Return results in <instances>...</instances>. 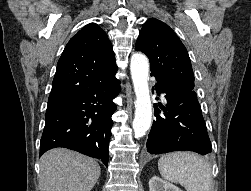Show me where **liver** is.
I'll list each match as a JSON object with an SVG mask.
<instances>
[{"label": "liver", "mask_w": 251, "mask_h": 191, "mask_svg": "<svg viewBox=\"0 0 251 191\" xmlns=\"http://www.w3.org/2000/svg\"><path fill=\"white\" fill-rule=\"evenodd\" d=\"M39 175L44 191H90L100 175V165L77 151L53 147L42 155Z\"/></svg>", "instance_id": "6515ba94"}]
</instances>
